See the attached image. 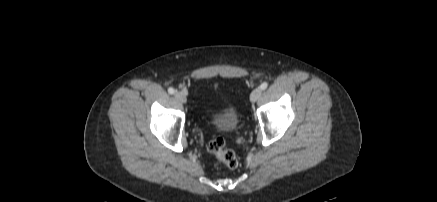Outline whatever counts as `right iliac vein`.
Masks as SVG:
<instances>
[{"mask_svg": "<svg viewBox=\"0 0 437 202\" xmlns=\"http://www.w3.org/2000/svg\"><path fill=\"white\" fill-rule=\"evenodd\" d=\"M175 98L180 101L181 103H186L187 98H186V93L184 91H177L175 93Z\"/></svg>", "mask_w": 437, "mask_h": 202, "instance_id": "right-iliac-vein-1", "label": "right iliac vein"}]
</instances>
